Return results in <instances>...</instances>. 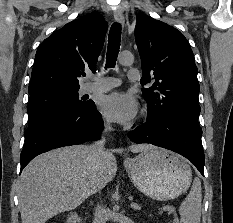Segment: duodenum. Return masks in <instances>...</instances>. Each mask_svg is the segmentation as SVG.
I'll use <instances>...</instances> for the list:
<instances>
[{"mask_svg": "<svg viewBox=\"0 0 233 223\" xmlns=\"http://www.w3.org/2000/svg\"><path fill=\"white\" fill-rule=\"evenodd\" d=\"M67 223H82V221L76 213H70L67 216Z\"/></svg>", "mask_w": 233, "mask_h": 223, "instance_id": "1", "label": "duodenum"}]
</instances>
